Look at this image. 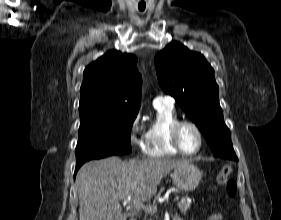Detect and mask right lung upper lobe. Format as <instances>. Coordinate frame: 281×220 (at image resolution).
I'll return each instance as SVG.
<instances>
[{
    "label": "right lung upper lobe",
    "mask_w": 281,
    "mask_h": 220,
    "mask_svg": "<svg viewBox=\"0 0 281 220\" xmlns=\"http://www.w3.org/2000/svg\"><path fill=\"white\" fill-rule=\"evenodd\" d=\"M133 54L108 51L84 70L80 118L137 114L141 75Z\"/></svg>",
    "instance_id": "1"
}]
</instances>
